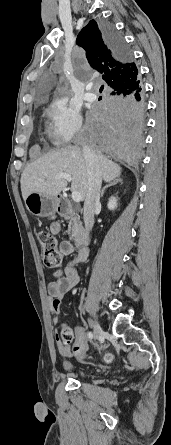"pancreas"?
Segmentation results:
<instances>
[{
  "mask_svg": "<svg viewBox=\"0 0 171 445\" xmlns=\"http://www.w3.org/2000/svg\"><path fill=\"white\" fill-rule=\"evenodd\" d=\"M68 219V234L70 235V239H78L81 236L83 230L82 222L72 210H70Z\"/></svg>",
  "mask_w": 171,
  "mask_h": 445,
  "instance_id": "obj_1",
  "label": "pancreas"
}]
</instances>
